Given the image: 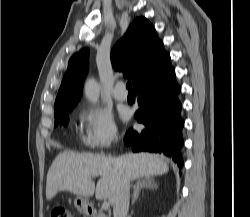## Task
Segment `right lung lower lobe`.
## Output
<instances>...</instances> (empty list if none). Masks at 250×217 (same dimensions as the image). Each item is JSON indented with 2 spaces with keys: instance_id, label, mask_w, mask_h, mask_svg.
<instances>
[{
  "instance_id": "1",
  "label": "right lung lower lobe",
  "mask_w": 250,
  "mask_h": 217,
  "mask_svg": "<svg viewBox=\"0 0 250 217\" xmlns=\"http://www.w3.org/2000/svg\"><path fill=\"white\" fill-rule=\"evenodd\" d=\"M139 109L134 117L144 124L142 131L130 129L124 142L133 151L159 152L183 166L181 147L184 144L181 117L182 105L178 99L181 87L175 80L169 54L159 66L135 86Z\"/></svg>"
}]
</instances>
